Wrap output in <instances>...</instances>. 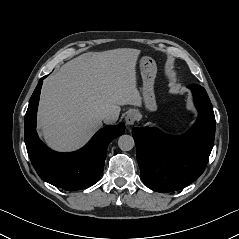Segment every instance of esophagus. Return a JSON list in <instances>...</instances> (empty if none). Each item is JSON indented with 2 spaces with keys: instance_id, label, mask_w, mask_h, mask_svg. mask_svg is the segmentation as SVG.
Instances as JSON below:
<instances>
[{
  "instance_id": "esophagus-1",
  "label": "esophagus",
  "mask_w": 239,
  "mask_h": 239,
  "mask_svg": "<svg viewBox=\"0 0 239 239\" xmlns=\"http://www.w3.org/2000/svg\"><path fill=\"white\" fill-rule=\"evenodd\" d=\"M137 120V113L136 111H130L126 117H125V122L127 125H133Z\"/></svg>"
}]
</instances>
